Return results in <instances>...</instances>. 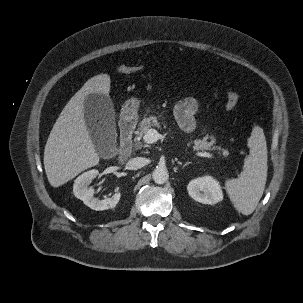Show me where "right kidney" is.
<instances>
[{
  "label": "right kidney",
  "mask_w": 303,
  "mask_h": 303,
  "mask_svg": "<svg viewBox=\"0 0 303 303\" xmlns=\"http://www.w3.org/2000/svg\"><path fill=\"white\" fill-rule=\"evenodd\" d=\"M98 174V170H90L77 177L74 181L73 193L78 199L82 200L85 205L93 210L102 211L114 208L121 198L119 192L115 193L110 198L100 200L94 197V189L89 187L92 180L96 178Z\"/></svg>",
  "instance_id": "right-kidney-1"
}]
</instances>
